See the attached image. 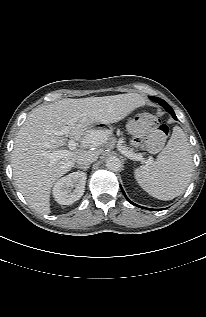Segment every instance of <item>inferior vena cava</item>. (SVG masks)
<instances>
[{
    "label": "inferior vena cava",
    "mask_w": 206,
    "mask_h": 317,
    "mask_svg": "<svg viewBox=\"0 0 206 317\" xmlns=\"http://www.w3.org/2000/svg\"><path fill=\"white\" fill-rule=\"evenodd\" d=\"M98 158V155L93 152H86L78 157L76 163L78 166H88L91 163L95 162Z\"/></svg>",
    "instance_id": "602c4592"
}]
</instances>
